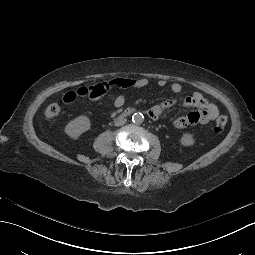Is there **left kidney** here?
<instances>
[{
    "mask_svg": "<svg viewBox=\"0 0 255 255\" xmlns=\"http://www.w3.org/2000/svg\"><path fill=\"white\" fill-rule=\"evenodd\" d=\"M180 143L183 146L189 147L195 144V140L191 134L184 133L180 138Z\"/></svg>",
    "mask_w": 255,
    "mask_h": 255,
    "instance_id": "5707ae66",
    "label": "left kidney"
}]
</instances>
